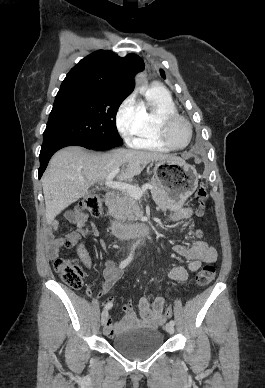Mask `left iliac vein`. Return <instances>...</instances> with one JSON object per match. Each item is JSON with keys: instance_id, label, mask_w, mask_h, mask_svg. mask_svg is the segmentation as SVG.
Listing matches in <instances>:
<instances>
[{"instance_id": "obj_1", "label": "left iliac vein", "mask_w": 265, "mask_h": 388, "mask_svg": "<svg viewBox=\"0 0 265 388\" xmlns=\"http://www.w3.org/2000/svg\"><path fill=\"white\" fill-rule=\"evenodd\" d=\"M165 329H166V331L169 333V334H174V326L173 325H171V324H166L165 325Z\"/></svg>"}]
</instances>
